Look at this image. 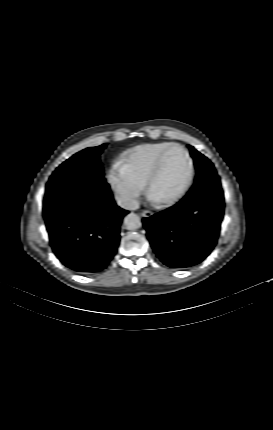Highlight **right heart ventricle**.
<instances>
[{
	"instance_id": "e07e8e85",
	"label": "right heart ventricle",
	"mask_w": 273,
	"mask_h": 430,
	"mask_svg": "<svg viewBox=\"0 0 273 430\" xmlns=\"http://www.w3.org/2000/svg\"><path fill=\"white\" fill-rule=\"evenodd\" d=\"M171 144L170 142H152L136 146L122 156V164L133 179L144 185L157 157Z\"/></svg>"
}]
</instances>
